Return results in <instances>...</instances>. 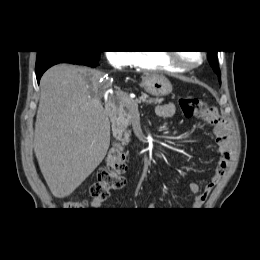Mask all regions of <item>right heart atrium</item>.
Returning <instances> with one entry per match:
<instances>
[{
	"mask_svg": "<svg viewBox=\"0 0 260 260\" xmlns=\"http://www.w3.org/2000/svg\"><path fill=\"white\" fill-rule=\"evenodd\" d=\"M106 57L109 63L117 69H122L133 65L134 55L130 51L114 50L108 51Z\"/></svg>",
	"mask_w": 260,
	"mask_h": 260,
	"instance_id": "right-heart-atrium-1",
	"label": "right heart atrium"
}]
</instances>
